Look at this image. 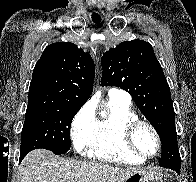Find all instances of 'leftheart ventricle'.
Instances as JSON below:
<instances>
[{
    "label": "left heart ventricle",
    "mask_w": 196,
    "mask_h": 182,
    "mask_svg": "<svg viewBox=\"0 0 196 182\" xmlns=\"http://www.w3.org/2000/svg\"><path fill=\"white\" fill-rule=\"evenodd\" d=\"M138 149L147 155H152L157 149V142L153 133L147 127H141L135 135Z\"/></svg>",
    "instance_id": "left-heart-ventricle-1"
}]
</instances>
